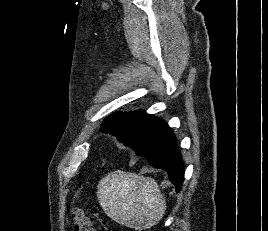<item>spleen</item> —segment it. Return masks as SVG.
I'll list each match as a JSON object with an SVG mask.
<instances>
[{
  "instance_id": "1",
  "label": "spleen",
  "mask_w": 268,
  "mask_h": 231,
  "mask_svg": "<svg viewBox=\"0 0 268 231\" xmlns=\"http://www.w3.org/2000/svg\"><path fill=\"white\" fill-rule=\"evenodd\" d=\"M97 197L108 217L135 229L152 227L166 210L165 198L154 179L119 170L100 180Z\"/></svg>"
}]
</instances>
